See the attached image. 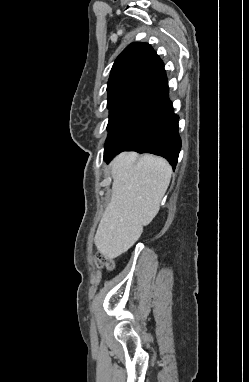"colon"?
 Masks as SVG:
<instances>
[{
  "label": "colon",
  "instance_id": "obj_1",
  "mask_svg": "<svg viewBox=\"0 0 249 382\" xmlns=\"http://www.w3.org/2000/svg\"><path fill=\"white\" fill-rule=\"evenodd\" d=\"M96 264L98 267H104L108 270H112L114 268V261L102 253L97 255Z\"/></svg>",
  "mask_w": 249,
  "mask_h": 382
}]
</instances>
